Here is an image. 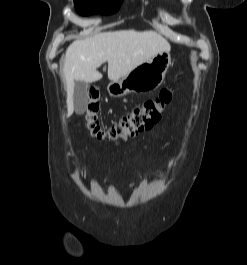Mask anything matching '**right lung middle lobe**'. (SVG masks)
I'll use <instances>...</instances> for the list:
<instances>
[{
    "mask_svg": "<svg viewBox=\"0 0 247 265\" xmlns=\"http://www.w3.org/2000/svg\"><path fill=\"white\" fill-rule=\"evenodd\" d=\"M123 0H74L75 8L80 15L100 13L109 15L116 12Z\"/></svg>",
    "mask_w": 247,
    "mask_h": 265,
    "instance_id": "obj_1",
    "label": "right lung middle lobe"
}]
</instances>
